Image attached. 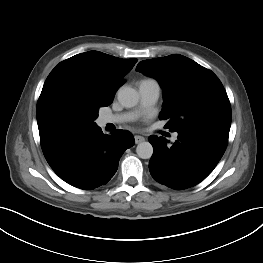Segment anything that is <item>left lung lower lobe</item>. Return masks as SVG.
Segmentation results:
<instances>
[{
	"instance_id": "1",
	"label": "left lung lower lobe",
	"mask_w": 263,
	"mask_h": 263,
	"mask_svg": "<svg viewBox=\"0 0 263 263\" xmlns=\"http://www.w3.org/2000/svg\"><path fill=\"white\" fill-rule=\"evenodd\" d=\"M176 132L172 146L164 137L148 138L154 148L149 171L160 184L181 190L197 185L213 171L227 147L229 130L204 125Z\"/></svg>"
}]
</instances>
